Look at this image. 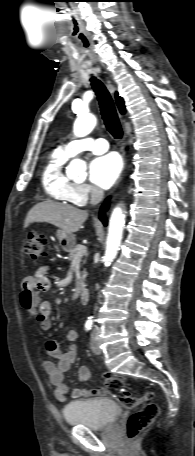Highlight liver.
I'll use <instances>...</instances> for the list:
<instances>
[{
	"instance_id": "obj_1",
	"label": "liver",
	"mask_w": 195,
	"mask_h": 456,
	"mask_svg": "<svg viewBox=\"0 0 195 456\" xmlns=\"http://www.w3.org/2000/svg\"><path fill=\"white\" fill-rule=\"evenodd\" d=\"M88 218L86 210L78 209L53 201H44L34 205L27 214L25 227L34 222H47L68 234L79 231Z\"/></svg>"
}]
</instances>
